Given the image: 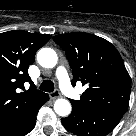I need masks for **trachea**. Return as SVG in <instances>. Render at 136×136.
<instances>
[{"mask_svg":"<svg viewBox=\"0 0 136 136\" xmlns=\"http://www.w3.org/2000/svg\"><path fill=\"white\" fill-rule=\"evenodd\" d=\"M39 89L45 91V92H53L54 91V84L52 81L44 80Z\"/></svg>","mask_w":136,"mask_h":136,"instance_id":"1","label":"trachea"}]
</instances>
